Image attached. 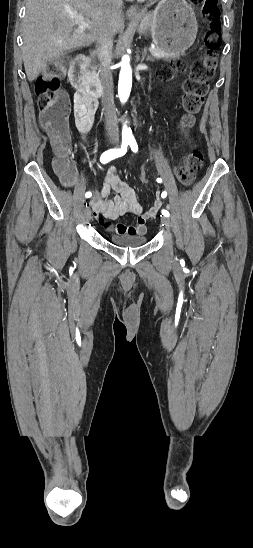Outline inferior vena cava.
Returning <instances> with one entry per match:
<instances>
[{
    "label": "inferior vena cava",
    "instance_id": "602c4592",
    "mask_svg": "<svg viewBox=\"0 0 253 548\" xmlns=\"http://www.w3.org/2000/svg\"><path fill=\"white\" fill-rule=\"evenodd\" d=\"M113 4L121 7L122 0H112ZM113 32L105 27L99 36L97 53L99 56L100 81L104 89L101 103L105 113L100 115L103 126L106 127L107 136L112 140H118L117 114L115 112L113 97V80L109 70L110 54L113 47Z\"/></svg>",
    "mask_w": 253,
    "mask_h": 548
}]
</instances>
